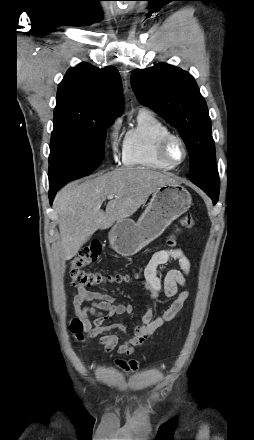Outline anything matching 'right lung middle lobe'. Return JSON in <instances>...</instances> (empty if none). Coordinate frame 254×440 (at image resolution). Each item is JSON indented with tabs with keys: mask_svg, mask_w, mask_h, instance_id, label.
Listing matches in <instances>:
<instances>
[{
	"mask_svg": "<svg viewBox=\"0 0 254 440\" xmlns=\"http://www.w3.org/2000/svg\"><path fill=\"white\" fill-rule=\"evenodd\" d=\"M112 122L54 117L49 156L50 186L89 175L100 165L105 157L106 127Z\"/></svg>",
	"mask_w": 254,
	"mask_h": 440,
	"instance_id": "obj_1",
	"label": "right lung middle lobe"
}]
</instances>
